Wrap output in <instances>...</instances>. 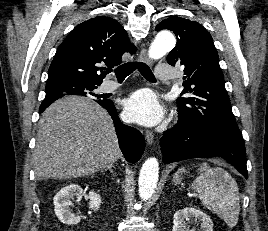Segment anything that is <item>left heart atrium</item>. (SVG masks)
I'll use <instances>...</instances> for the list:
<instances>
[{"label":"left heart atrium","mask_w":268,"mask_h":231,"mask_svg":"<svg viewBox=\"0 0 268 231\" xmlns=\"http://www.w3.org/2000/svg\"><path fill=\"white\" fill-rule=\"evenodd\" d=\"M124 115L126 120L143 126L159 123L164 115L155 93L149 89L134 92L125 102Z\"/></svg>","instance_id":"obj_1"}]
</instances>
